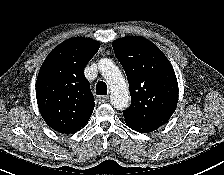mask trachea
<instances>
[{"instance_id": "obj_1", "label": "trachea", "mask_w": 224, "mask_h": 175, "mask_svg": "<svg viewBox=\"0 0 224 175\" xmlns=\"http://www.w3.org/2000/svg\"><path fill=\"white\" fill-rule=\"evenodd\" d=\"M96 94L97 95H107V85L105 82H98L96 85Z\"/></svg>"}]
</instances>
